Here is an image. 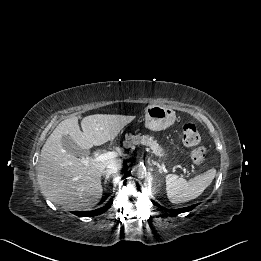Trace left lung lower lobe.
<instances>
[{
  "label": "left lung lower lobe",
  "mask_w": 261,
  "mask_h": 261,
  "mask_svg": "<svg viewBox=\"0 0 261 261\" xmlns=\"http://www.w3.org/2000/svg\"><path fill=\"white\" fill-rule=\"evenodd\" d=\"M154 205L161 207L159 204L153 202ZM196 205H192L189 207H185V208H181V209H175V210H169V212L174 213V214H179V213H183V212H187V211H191L192 209H194ZM163 208V207H162Z\"/></svg>",
  "instance_id": "0a47b994"
}]
</instances>
